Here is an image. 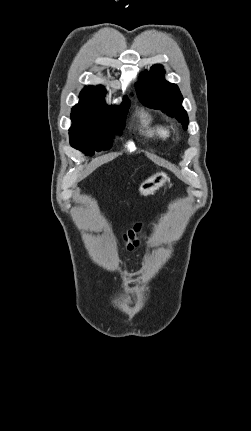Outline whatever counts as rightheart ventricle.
Segmentation results:
<instances>
[{
	"label": "right heart ventricle",
	"mask_w": 251,
	"mask_h": 431,
	"mask_svg": "<svg viewBox=\"0 0 251 431\" xmlns=\"http://www.w3.org/2000/svg\"><path fill=\"white\" fill-rule=\"evenodd\" d=\"M141 131L147 137L154 140H167L170 137V128L160 122L151 112L142 110L139 113Z\"/></svg>",
	"instance_id": "obj_1"
}]
</instances>
